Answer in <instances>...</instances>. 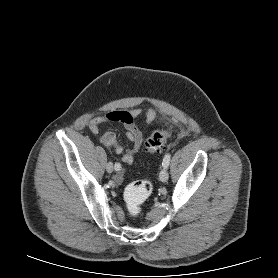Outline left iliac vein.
Returning a JSON list of instances; mask_svg holds the SVG:
<instances>
[{"mask_svg": "<svg viewBox=\"0 0 278 278\" xmlns=\"http://www.w3.org/2000/svg\"><path fill=\"white\" fill-rule=\"evenodd\" d=\"M168 178H169V174H168L167 168H163L160 171L159 179L161 182L165 183V182H167Z\"/></svg>", "mask_w": 278, "mask_h": 278, "instance_id": "4c4485c4", "label": "left iliac vein"}]
</instances>
